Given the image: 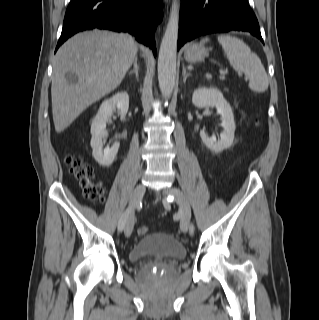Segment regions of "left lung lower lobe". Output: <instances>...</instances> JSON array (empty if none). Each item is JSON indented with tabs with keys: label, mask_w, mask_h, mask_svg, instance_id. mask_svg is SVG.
Listing matches in <instances>:
<instances>
[{
	"label": "left lung lower lobe",
	"mask_w": 319,
	"mask_h": 320,
	"mask_svg": "<svg viewBox=\"0 0 319 320\" xmlns=\"http://www.w3.org/2000/svg\"><path fill=\"white\" fill-rule=\"evenodd\" d=\"M230 30L249 32L263 42L248 0H182L178 49L200 35Z\"/></svg>",
	"instance_id": "1"
}]
</instances>
